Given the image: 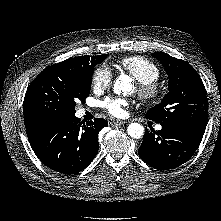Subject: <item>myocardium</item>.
Wrapping results in <instances>:
<instances>
[{
	"label": "myocardium",
	"instance_id": "f54148a6",
	"mask_svg": "<svg viewBox=\"0 0 221 221\" xmlns=\"http://www.w3.org/2000/svg\"><path fill=\"white\" fill-rule=\"evenodd\" d=\"M162 94L163 90L156 82L140 84L138 88V97L144 103H154L162 97Z\"/></svg>",
	"mask_w": 221,
	"mask_h": 221
}]
</instances>
